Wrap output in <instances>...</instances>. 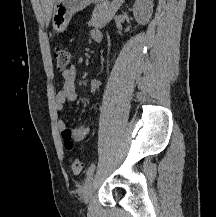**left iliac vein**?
<instances>
[{"mask_svg": "<svg viewBox=\"0 0 216 217\" xmlns=\"http://www.w3.org/2000/svg\"><path fill=\"white\" fill-rule=\"evenodd\" d=\"M93 191H94V176L91 175L87 179L86 184L84 186V190H83V201L85 204L90 203Z\"/></svg>", "mask_w": 216, "mask_h": 217, "instance_id": "1", "label": "left iliac vein"}]
</instances>
